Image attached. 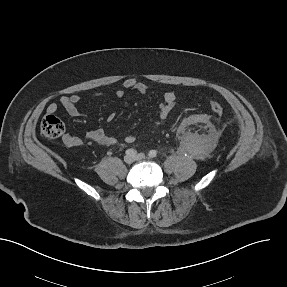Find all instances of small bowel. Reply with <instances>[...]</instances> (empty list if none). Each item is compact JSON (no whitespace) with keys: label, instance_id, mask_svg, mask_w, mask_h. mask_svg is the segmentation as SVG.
<instances>
[{"label":"small bowel","instance_id":"c3829d8e","mask_svg":"<svg viewBox=\"0 0 287 287\" xmlns=\"http://www.w3.org/2000/svg\"><path fill=\"white\" fill-rule=\"evenodd\" d=\"M123 87L126 90H134L140 94H145L148 92L152 87L146 83L139 82L134 78H126L123 81ZM99 93H97L98 95ZM118 97L123 96V91L118 90L116 92ZM81 101V96L78 94H73L70 96H62L58 103L53 102L48 105L47 112L50 114L56 113L61 107L66 111L68 115L71 117H78L84 115L77 108V104ZM176 105V95L172 91L165 92L161 98L160 103L158 104V124L162 121L166 120L172 110ZM126 143H133L136 140V137L133 135H126L122 139ZM85 141H92L96 144L103 145V146H111L119 142V139L109 135L104 129H97L86 133L85 137H79L72 134H65L63 136V142L70 147H78L84 144Z\"/></svg>","mask_w":287,"mask_h":287}]
</instances>
